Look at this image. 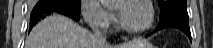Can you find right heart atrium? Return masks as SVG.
I'll list each match as a JSON object with an SVG mask.
<instances>
[{
    "mask_svg": "<svg viewBox=\"0 0 213 48\" xmlns=\"http://www.w3.org/2000/svg\"><path fill=\"white\" fill-rule=\"evenodd\" d=\"M82 11L86 22L95 29H107L113 20L112 14L96 0L82 1Z\"/></svg>",
    "mask_w": 213,
    "mask_h": 48,
    "instance_id": "1",
    "label": "right heart atrium"
}]
</instances>
